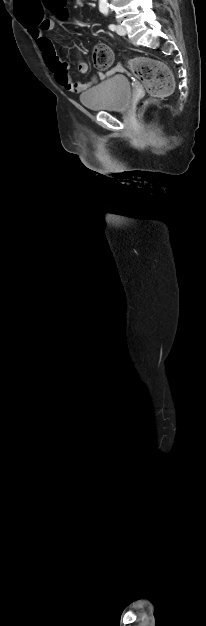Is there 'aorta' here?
Returning <instances> with one entry per match:
<instances>
[{
    "label": "aorta",
    "instance_id": "obj_1",
    "mask_svg": "<svg viewBox=\"0 0 206 626\" xmlns=\"http://www.w3.org/2000/svg\"><path fill=\"white\" fill-rule=\"evenodd\" d=\"M100 8L107 9L108 3L107 0H99Z\"/></svg>",
    "mask_w": 206,
    "mask_h": 626
}]
</instances>
